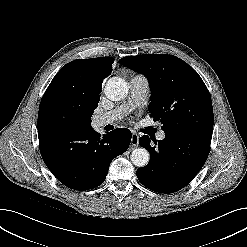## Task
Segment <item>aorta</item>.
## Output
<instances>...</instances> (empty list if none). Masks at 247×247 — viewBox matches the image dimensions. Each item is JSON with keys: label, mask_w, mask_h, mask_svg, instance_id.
I'll list each match as a JSON object with an SVG mask.
<instances>
[{"label": "aorta", "mask_w": 247, "mask_h": 247, "mask_svg": "<svg viewBox=\"0 0 247 247\" xmlns=\"http://www.w3.org/2000/svg\"><path fill=\"white\" fill-rule=\"evenodd\" d=\"M105 95L112 101H120L128 94L127 82L118 77L110 78L104 88ZM130 159L136 167H144L150 160V154L145 148H136L131 152Z\"/></svg>", "instance_id": "obj_1"}]
</instances>
